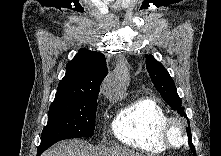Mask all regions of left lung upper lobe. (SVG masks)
Listing matches in <instances>:
<instances>
[{
  "label": "left lung upper lobe",
  "instance_id": "obj_1",
  "mask_svg": "<svg viewBox=\"0 0 221 156\" xmlns=\"http://www.w3.org/2000/svg\"><path fill=\"white\" fill-rule=\"evenodd\" d=\"M146 68L154 86L166 103L176 110L180 116L188 119L182 107V101L177 94L174 81L165 67L152 55H146Z\"/></svg>",
  "mask_w": 221,
  "mask_h": 156
}]
</instances>
